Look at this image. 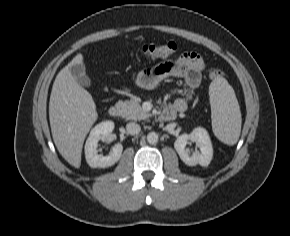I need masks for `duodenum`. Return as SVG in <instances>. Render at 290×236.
<instances>
[{
  "label": "duodenum",
  "instance_id": "obj_1",
  "mask_svg": "<svg viewBox=\"0 0 290 236\" xmlns=\"http://www.w3.org/2000/svg\"><path fill=\"white\" fill-rule=\"evenodd\" d=\"M178 112H181V111H178L175 108H166L161 113L160 118L163 121H170V120L175 119ZM108 114L112 118H118L122 114V109L118 105H112V106H110V108L108 110Z\"/></svg>",
  "mask_w": 290,
  "mask_h": 236
}]
</instances>
